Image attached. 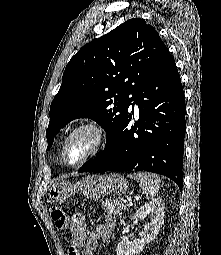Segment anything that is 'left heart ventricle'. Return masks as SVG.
<instances>
[{"instance_id": "1", "label": "left heart ventricle", "mask_w": 221, "mask_h": 255, "mask_svg": "<svg viewBox=\"0 0 221 255\" xmlns=\"http://www.w3.org/2000/svg\"><path fill=\"white\" fill-rule=\"evenodd\" d=\"M94 136L89 131H82L74 135L66 147V160L70 163L80 161L92 149Z\"/></svg>"}]
</instances>
